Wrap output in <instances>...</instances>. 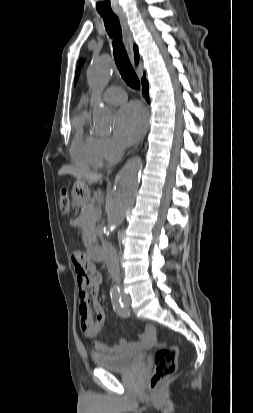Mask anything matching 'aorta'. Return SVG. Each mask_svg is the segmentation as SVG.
Masks as SVG:
<instances>
[{
	"instance_id": "obj_1",
	"label": "aorta",
	"mask_w": 253,
	"mask_h": 413,
	"mask_svg": "<svg viewBox=\"0 0 253 413\" xmlns=\"http://www.w3.org/2000/svg\"><path fill=\"white\" fill-rule=\"evenodd\" d=\"M115 69L110 58L93 61L87 70L88 84L94 92L93 123L100 132H109L113 123V115L99 99L106 88ZM142 161L135 157L129 160L119 172L113 194L107 205L108 228L119 226L126 210L133 204L139 184Z\"/></svg>"
}]
</instances>
